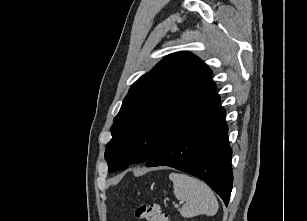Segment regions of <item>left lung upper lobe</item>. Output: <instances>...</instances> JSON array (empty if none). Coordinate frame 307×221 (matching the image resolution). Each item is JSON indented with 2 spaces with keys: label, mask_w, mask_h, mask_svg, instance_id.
<instances>
[{
  "label": "left lung upper lobe",
  "mask_w": 307,
  "mask_h": 221,
  "mask_svg": "<svg viewBox=\"0 0 307 221\" xmlns=\"http://www.w3.org/2000/svg\"><path fill=\"white\" fill-rule=\"evenodd\" d=\"M211 70L198 57H165L130 88L111 128L105 159L109 172L147 162L174 135L220 98Z\"/></svg>",
  "instance_id": "obj_1"
}]
</instances>
